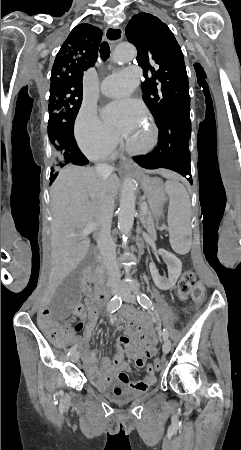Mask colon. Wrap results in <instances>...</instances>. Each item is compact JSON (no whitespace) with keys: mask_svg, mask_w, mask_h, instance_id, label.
Wrapping results in <instances>:
<instances>
[{"mask_svg":"<svg viewBox=\"0 0 241 450\" xmlns=\"http://www.w3.org/2000/svg\"><path fill=\"white\" fill-rule=\"evenodd\" d=\"M204 287L202 285V282L200 280H196V274L194 271H186L183 276L181 277L179 283H178V290L177 295L178 297L185 301L187 300L191 295H193V298L191 300V303L193 306H207L209 303V300L207 297H204ZM84 304L81 302L76 307V313L77 314H83L85 312ZM155 367H160V362H155Z\"/></svg>","mask_w":241,"mask_h":450,"instance_id":"5ec220e1","label":"colon"}]
</instances>
